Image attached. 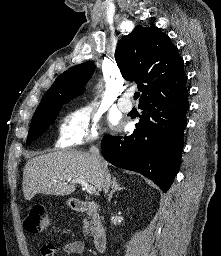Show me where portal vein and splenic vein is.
Returning <instances> with one entry per match:
<instances>
[{
    "instance_id": "portal-vein-and-splenic-vein-1",
    "label": "portal vein and splenic vein",
    "mask_w": 221,
    "mask_h": 256,
    "mask_svg": "<svg viewBox=\"0 0 221 256\" xmlns=\"http://www.w3.org/2000/svg\"><path fill=\"white\" fill-rule=\"evenodd\" d=\"M70 183H72V184H77V183L81 184V185L84 187V189H85L90 195L96 193L95 187L92 186V185H90L89 183H87L84 179H80V178L73 179V180H71Z\"/></svg>"
}]
</instances>
